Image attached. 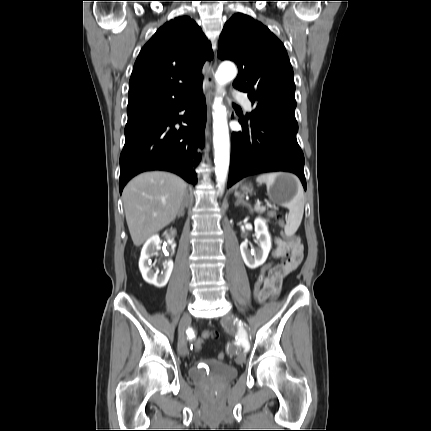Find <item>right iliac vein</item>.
<instances>
[{
	"label": "right iliac vein",
	"mask_w": 431,
	"mask_h": 431,
	"mask_svg": "<svg viewBox=\"0 0 431 431\" xmlns=\"http://www.w3.org/2000/svg\"><path fill=\"white\" fill-rule=\"evenodd\" d=\"M191 322L189 313H184L178 327V352L181 356L185 357L188 354L186 343V330Z\"/></svg>",
	"instance_id": "1"
}]
</instances>
